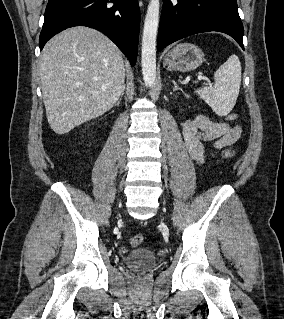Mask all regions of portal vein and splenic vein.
<instances>
[{"label":"portal vein and splenic vein","mask_w":284,"mask_h":319,"mask_svg":"<svg viewBox=\"0 0 284 319\" xmlns=\"http://www.w3.org/2000/svg\"><path fill=\"white\" fill-rule=\"evenodd\" d=\"M198 80L201 81V80H206V81H209L206 77L202 76V75H199L198 76Z\"/></svg>","instance_id":"1"}]
</instances>
